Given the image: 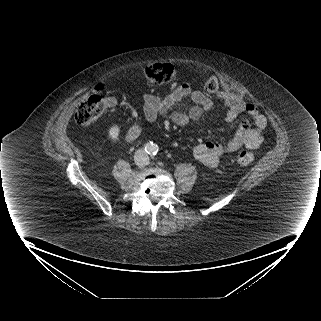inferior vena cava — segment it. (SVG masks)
<instances>
[{"label": "inferior vena cava", "instance_id": "inferior-vena-cava-1", "mask_svg": "<svg viewBox=\"0 0 321 321\" xmlns=\"http://www.w3.org/2000/svg\"><path fill=\"white\" fill-rule=\"evenodd\" d=\"M134 159H135V163L138 165V166H145L148 164L149 162V157H148V154L140 149L138 150L136 153H135V156H134Z\"/></svg>", "mask_w": 321, "mask_h": 321}]
</instances>
